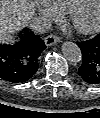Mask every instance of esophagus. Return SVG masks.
Wrapping results in <instances>:
<instances>
[{
	"mask_svg": "<svg viewBox=\"0 0 100 118\" xmlns=\"http://www.w3.org/2000/svg\"><path fill=\"white\" fill-rule=\"evenodd\" d=\"M61 41L60 37H58L57 35L55 34H50L48 35L45 39H44V42L47 46H51V45H54V44H57Z\"/></svg>",
	"mask_w": 100,
	"mask_h": 118,
	"instance_id": "esophagus-1",
	"label": "esophagus"
}]
</instances>
